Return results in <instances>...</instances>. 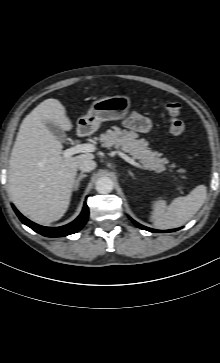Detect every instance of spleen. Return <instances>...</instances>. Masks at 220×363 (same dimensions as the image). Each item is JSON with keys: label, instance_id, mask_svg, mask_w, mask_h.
<instances>
[{"label": "spleen", "instance_id": "obj_1", "mask_svg": "<svg viewBox=\"0 0 220 363\" xmlns=\"http://www.w3.org/2000/svg\"><path fill=\"white\" fill-rule=\"evenodd\" d=\"M206 197V186L198 185L187 196L175 198L168 207L164 200L159 199L154 202V213L151 220L160 229L179 227L197 213Z\"/></svg>", "mask_w": 220, "mask_h": 363}]
</instances>
